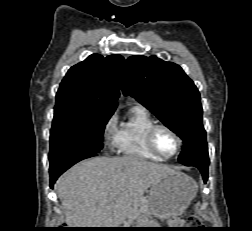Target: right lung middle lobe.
Instances as JSON below:
<instances>
[{
	"label": "right lung middle lobe",
	"mask_w": 252,
	"mask_h": 231,
	"mask_svg": "<svg viewBox=\"0 0 252 231\" xmlns=\"http://www.w3.org/2000/svg\"><path fill=\"white\" fill-rule=\"evenodd\" d=\"M114 111L74 105L55 106L49 161L82 153H98L103 132Z\"/></svg>",
	"instance_id": "right-lung-middle-lobe-1"
}]
</instances>
